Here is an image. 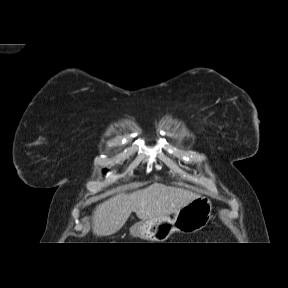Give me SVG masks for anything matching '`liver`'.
I'll return each mask as SVG.
<instances>
[{
    "instance_id": "liver-1",
    "label": "liver",
    "mask_w": 288,
    "mask_h": 288,
    "mask_svg": "<svg viewBox=\"0 0 288 288\" xmlns=\"http://www.w3.org/2000/svg\"><path fill=\"white\" fill-rule=\"evenodd\" d=\"M197 194L162 183L134 191L120 193L100 203L93 213V233L108 236L119 231L132 212L142 221L169 216L186 206Z\"/></svg>"
}]
</instances>
